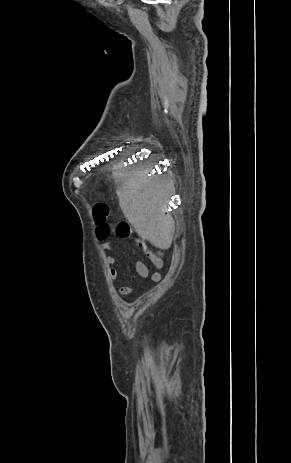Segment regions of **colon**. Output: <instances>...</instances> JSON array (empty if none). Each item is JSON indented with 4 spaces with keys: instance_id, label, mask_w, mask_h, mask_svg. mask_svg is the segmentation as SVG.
Segmentation results:
<instances>
[{
    "instance_id": "1",
    "label": "colon",
    "mask_w": 291,
    "mask_h": 463,
    "mask_svg": "<svg viewBox=\"0 0 291 463\" xmlns=\"http://www.w3.org/2000/svg\"><path fill=\"white\" fill-rule=\"evenodd\" d=\"M111 210L106 203H96L93 206V219L95 221V234L99 240H106L113 231L122 238H132L133 230L127 221H120L113 226L109 221Z\"/></svg>"
}]
</instances>
